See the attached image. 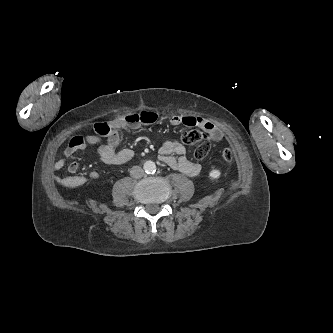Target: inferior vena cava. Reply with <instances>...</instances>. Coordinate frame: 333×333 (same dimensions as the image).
Returning a JSON list of instances; mask_svg holds the SVG:
<instances>
[{"label":"inferior vena cava","instance_id":"602c4592","mask_svg":"<svg viewBox=\"0 0 333 333\" xmlns=\"http://www.w3.org/2000/svg\"><path fill=\"white\" fill-rule=\"evenodd\" d=\"M130 175L133 178L139 179L144 175V171L141 167L139 166H133L130 170Z\"/></svg>","mask_w":333,"mask_h":333}]
</instances>
